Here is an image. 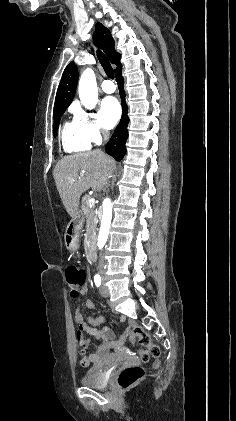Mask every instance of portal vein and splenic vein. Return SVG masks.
<instances>
[{"label": "portal vein and splenic vein", "instance_id": "18ae733b", "mask_svg": "<svg viewBox=\"0 0 236 421\" xmlns=\"http://www.w3.org/2000/svg\"><path fill=\"white\" fill-rule=\"evenodd\" d=\"M82 176H84V174H80V176H78V178H82ZM74 178H70V182H73ZM89 206L91 208V206H95V200H93V198H89Z\"/></svg>", "mask_w": 236, "mask_h": 421}]
</instances>
